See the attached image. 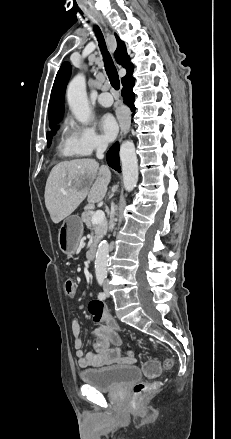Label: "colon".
Wrapping results in <instances>:
<instances>
[{"instance_id":"colon-1","label":"colon","mask_w":231,"mask_h":439,"mask_svg":"<svg viewBox=\"0 0 231 439\" xmlns=\"http://www.w3.org/2000/svg\"><path fill=\"white\" fill-rule=\"evenodd\" d=\"M65 293L69 297H74L76 295V283L73 279H67L64 284ZM89 312L93 317V320L99 322L106 318L107 312L105 310L104 304L101 301L93 300L88 306ZM174 366V360L168 358L164 361V368L167 370L172 369ZM161 367L157 360L151 359L147 361L142 366L143 374L148 379L156 378L160 373ZM157 386L156 383L138 382L133 387V394L136 398L142 397L149 391L153 390Z\"/></svg>"}]
</instances>
